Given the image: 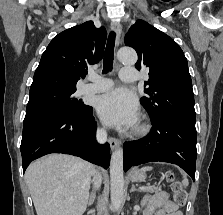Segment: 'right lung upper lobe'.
<instances>
[{
	"label": "right lung upper lobe",
	"mask_w": 223,
	"mask_h": 215,
	"mask_svg": "<svg viewBox=\"0 0 223 215\" xmlns=\"http://www.w3.org/2000/svg\"><path fill=\"white\" fill-rule=\"evenodd\" d=\"M106 36V29L96 28L93 21L58 34L42 54L30 92L76 90L87 66L102 59Z\"/></svg>",
	"instance_id": "obj_1"
}]
</instances>
